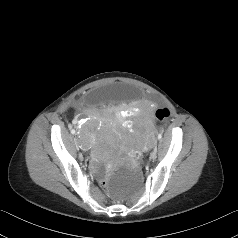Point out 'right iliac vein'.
Listing matches in <instances>:
<instances>
[{"label":"right iliac vein","instance_id":"obj_1","mask_svg":"<svg viewBox=\"0 0 238 238\" xmlns=\"http://www.w3.org/2000/svg\"><path fill=\"white\" fill-rule=\"evenodd\" d=\"M73 144L75 145V148H76L77 152H80V148H79V145L76 141V138H73Z\"/></svg>","mask_w":238,"mask_h":238}]
</instances>
